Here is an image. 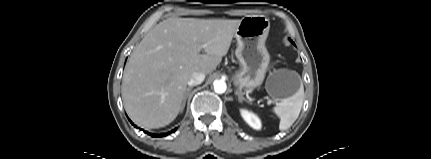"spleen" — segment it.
<instances>
[{"mask_svg":"<svg viewBox=\"0 0 431 159\" xmlns=\"http://www.w3.org/2000/svg\"><path fill=\"white\" fill-rule=\"evenodd\" d=\"M304 101V87L301 83L299 91L290 98L283 99L273 109L280 118L279 129H288L298 118Z\"/></svg>","mask_w":431,"mask_h":159,"instance_id":"3e777b00","label":"spleen"}]
</instances>
